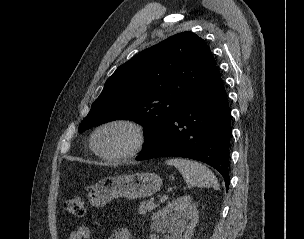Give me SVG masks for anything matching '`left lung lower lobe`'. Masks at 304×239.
Wrapping results in <instances>:
<instances>
[{
  "label": "left lung lower lobe",
  "mask_w": 304,
  "mask_h": 239,
  "mask_svg": "<svg viewBox=\"0 0 304 239\" xmlns=\"http://www.w3.org/2000/svg\"><path fill=\"white\" fill-rule=\"evenodd\" d=\"M230 109L218 68L177 111L166 130L146 146L137 160L178 156L196 159L214 167L224 178L226 190Z\"/></svg>",
  "instance_id": "obj_1"
}]
</instances>
